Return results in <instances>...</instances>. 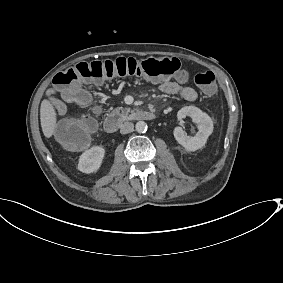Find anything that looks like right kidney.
Returning <instances> with one entry per match:
<instances>
[{"label":"right kidney","instance_id":"right-kidney-1","mask_svg":"<svg viewBox=\"0 0 283 283\" xmlns=\"http://www.w3.org/2000/svg\"><path fill=\"white\" fill-rule=\"evenodd\" d=\"M104 154L105 150L99 146L86 150L79 158L78 170L84 173L97 171L101 166Z\"/></svg>","mask_w":283,"mask_h":283}]
</instances>
